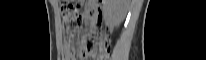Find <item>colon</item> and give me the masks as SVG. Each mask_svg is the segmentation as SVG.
Wrapping results in <instances>:
<instances>
[{"mask_svg":"<svg viewBox=\"0 0 206 60\" xmlns=\"http://www.w3.org/2000/svg\"><path fill=\"white\" fill-rule=\"evenodd\" d=\"M62 17L67 28L70 38L76 35L79 26V9L72 3H63L61 7ZM100 26H96V30L99 31ZM86 48L89 52H94L96 60H108L109 59V46L105 39H89L86 42Z\"/></svg>","mask_w":206,"mask_h":60,"instance_id":"5ec220e1","label":"colon"}]
</instances>
